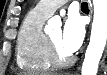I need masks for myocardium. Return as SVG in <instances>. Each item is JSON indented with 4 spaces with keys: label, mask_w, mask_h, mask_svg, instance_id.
I'll return each instance as SVG.
<instances>
[{
    "label": "myocardium",
    "mask_w": 107,
    "mask_h": 75,
    "mask_svg": "<svg viewBox=\"0 0 107 75\" xmlns=\"http://www.w3.org/2000/svg\"><path fill=\"white\" fill-rule=\"evenodd\" d=\"M46 43L49 59L53 66L62 68L72 64L73 57L70 54H63L49 36H46Z\"/></svg>",
    "instance_id": "1"
}]
</instances>
